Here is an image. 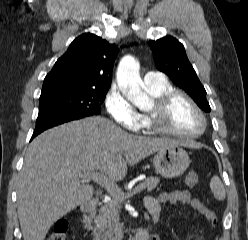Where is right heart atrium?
<instances>
[{"mask_svg":"<svg viewBox=\"0 0 248 240\" xmlns=\"http://www.w3.org/2000/svg\"><path fill=\"white\" fill-rule=\"evenodd\" d=\"M105 106L110 117L130 131H138L143 126L142 116L113 85L105 98Z\"/></svg>","mask_w":248,"mask_h":240,"instance_id":"1","label":"right heart atrium"}]
</instances>
